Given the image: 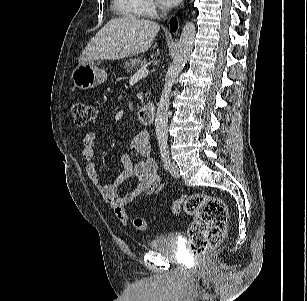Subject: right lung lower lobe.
<instances>
[{
	"mask_svg": "<svg viewBox=\"0 0 307 301\" xmlns=\"http://www.w3.org/2000/svg\"><path fill=\"white\" fill-rule=\"evenodd\" d=\"M176 27H177L176 19H175V18H172V19L170 20V29H171L172 31H175V30H176Z\"/></svg>",
	"mask_w": 307,
	"mask_h": 301,
	"instance_id": "1",
	"label": "right lung lower lobe"
}]
</instances>
